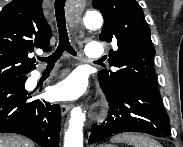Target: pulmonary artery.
<instances>
[{"label": "pulmonary artery", "instance_id": "obj_1", "mask_svg": "<svg viewBox=\"0 0 183 147\" xmlns=\"http://www.w3.org/2000/svg\"><path fill=\"white\" fill-rule=\"evenodd\" d=\"M84 52L85 55L91 59H99L104 54L102 45L97 42L88 43L84 49ZM36 76L38 77L39 73H37Z\"/></svg>", "mask_w": 183, "mask_h": 147}]
</instances>
